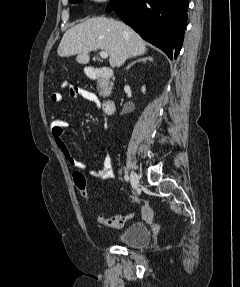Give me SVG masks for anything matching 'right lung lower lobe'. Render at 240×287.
I'll return each mask as SVG.
<instances>
[{
    "mask_svg": "<svg viewBox=\"0 0 240 287\" xmlns=\"http://www.w3.org/2000/svg\"><path fill=\"white\" fill-rule=\"evenodd\" d=\"M188 0H111L115 11L144 40L177 58L187 22Z\"/></svg>",
    "mask_w": 240,
    "mask_h": 287,
    "instance_id": "1",
    "label": "right lung lower lobe"
}]
</instances>
